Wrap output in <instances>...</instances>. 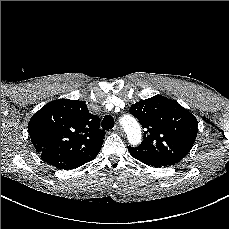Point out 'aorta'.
I'll return each instance as SVG.
<instances>
[{
	"label": "aorta",
	"instance_id": "obj_1",
	"mask_svg": "<svg viewBox=\"0 0 229 229\" xmlns=\"http://www.w3.org/2000/svg\"><path fill=\"white\" fill-rule=\"evenodd\" d=\"M123 126L127 128V136L129 143L137 145L141 142V129L137 121L129 115L124 116L121 119Z\"/></svg>",
	"mask_w": 229,
	"mask_h": 229
}]
</instances>
